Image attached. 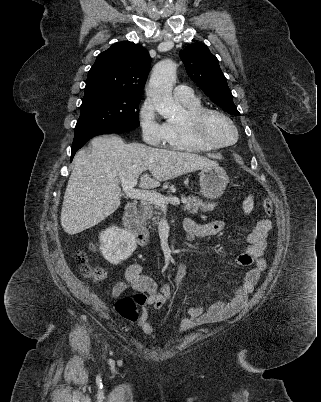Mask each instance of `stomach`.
<instances>
[{"mask_svg": "<svg viewBox=\"0 0 321 402\" xmlns=\"http://www.w3.org/2000/svg\"><path fill=\"white\" fill-rule=\"evenodd\" d=\"M201 194L208 199L220 197L228 183L226 171L219 166L204 167L199 173Z\"/></svg>", "mask_w": 321, "mask_h": 402, "instance_id": "stomach-1", "label": "stomach"}]
</instances>
